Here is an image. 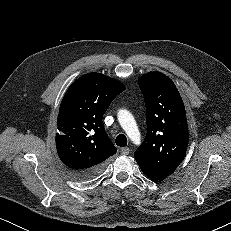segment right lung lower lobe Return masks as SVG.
Returning a JSON list of instances; mask_svg holds the SVG:
<instances>
[{
    "mask_svg": "<svg viewBox=\"0 0 231 231\" xmlns=\"http://www.w3.org/2000/svg\"><path fill=\"white\" fill-rule=\"evenodd\" d=\"M102 168H95L81 172H72L77 179H90L98 175L101 172Z\"/></svg>",
    "mask_w": 231,
    "mask_h": 231,
    "instance_id": "obj_1",
    "label": "right lung lower lobe"
}]
</instances>
